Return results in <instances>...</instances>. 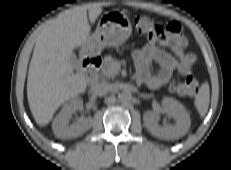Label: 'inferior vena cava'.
I'll use <instances>...</instances> for the list:
<instances>
[{
    "mask_svg": "<svg viewBox=\"0 0 231 170\" xmlns=\"http://www.w3.org/2000/svg\"><path fill=\"white\" fill-rule=\"evenodd\" d=\"M111 85L108 83H99L95 86L94 92L98 96H102L107 94L111 90Z\"/></svg>",
    "mask_w": 231,
    "mask_h": 170,
    "instance_id": "obj_1",
    "label": "inferior vena cava"
}]
</instances>
